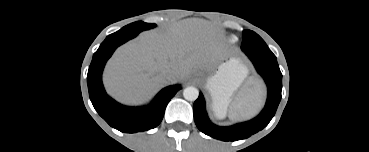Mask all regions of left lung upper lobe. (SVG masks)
I'll return each instance as SVG.
<instances>
[{"instance_id": "obj_1", "label": "left lung upper lobe", "mask_w": 369, "mask_h": 152, "mask_svg": "<svg viewBox=\"0 0 369 152\" xmlns=\"http://www.w3.org/2000/svg\"><path fill=\"white\" fill-rule=\"evenodd\" d=\"M241 49L247 55L276 58L271 50L268 48L264 40L258 34L251 30L243 31V41Z\"/></svg>"}]
</instances>
